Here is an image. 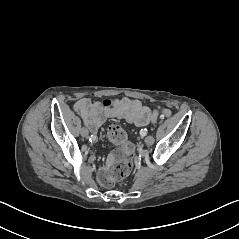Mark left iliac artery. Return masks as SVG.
I'll list each match as a JSON object with an SVG mask.
<instances>
[{"mask_svg": "<svg viewBox=\"0 0 239 239\" xmlns=\"http://www.w3.org/2000/svg\"><path fill=\"white\" fill-rule=\"evenodd\" d=\"M140 135L141 136H146L147 135V129H141Z\"/></svg>", "mask_w": 239, "mask_h": 239, "instance_id": "left-iliac-artery-1", "label": "left iliac artery"}]
</instances>
